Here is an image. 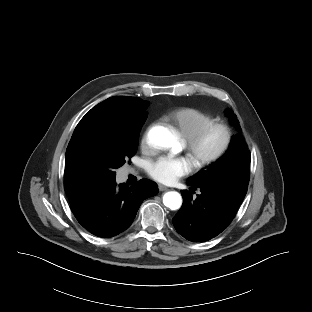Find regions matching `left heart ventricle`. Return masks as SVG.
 <instances>
[{
	"label": "left heart ventricle",
	"mask_w": 312,
	"mask_h": 312,
	"mask_svg": "<svg viewBox=\"0 0 312 312\" xmlns=\"http://www.w3.org/2000/svg\"><path fill=\"white\" fill-rule=\"evenodd\" d=\"M221 142H222L221 131H214L207 137V139L201 145L200 153L201 154L212 153L220 146Z\"/></svg>",
	"instance_id": "obj_1"
}]
</instances>
